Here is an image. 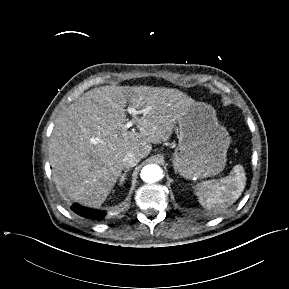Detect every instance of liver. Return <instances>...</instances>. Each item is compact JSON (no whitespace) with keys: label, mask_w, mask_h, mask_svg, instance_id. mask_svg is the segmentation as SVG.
Listing matches in <instances>:
<instances>
[{"label":"liver","mask_w":289,"mask_h":289,"mask_svg":"<svg viewBox=\"0 0 289 289\" xmlns=\"http://www.w3.org/2000/svg\"><path fill=\"white\" fill-rule=\"evenodd\" d=\"M195 101L172 88L101 86L84 93L57 117L49 142L53 180L74 202L99 207L133 152L147 157L153 144L170 139L178 119ZM143 110L139 132L127 131L125 107Z\"/></svg>","instance_id":"6515ba94"}]
</instances>
